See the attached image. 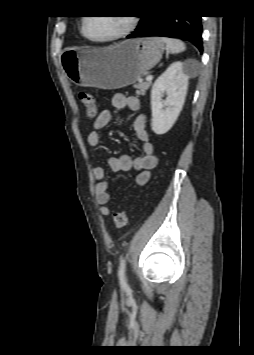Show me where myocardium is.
<instances>
[{
    "mask_svg": "<svg viewBox=\"0 0 254 355\" xmlns=\"http://www.w3.org/2000/svg\"><path fill=\"white\" fill-rule=\"evenodd\" d=\"M128 19V23L126 25V27L119 33H117L116 35L109 37V38H104V39H96V38H92L90 37L87 33H86V24L88 21V17L85 18L82 22V26H81V32L83 34V36L88 39L91 42L94 43H108V42H113L119 39H122L124 37H126L127 35H129L137 26V17L135 15H129L126 16Z\"/></svg>",
    "mask_w": 254,
    "mask_h": 355,
    "instance_id": "1",
    "label": "myocardium"
}]
</instances>
